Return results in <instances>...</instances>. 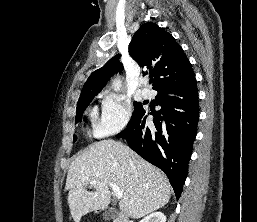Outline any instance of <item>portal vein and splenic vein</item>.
Here are the masks:
<instances>
[{
    "label": "portal vein and splenic vein",
    "instance_id": "portal-vein-and-splenic-vein-1",
    "mask_svg": "<svg viewBox=\"0 0 257 222\" xmlns=\"http://www.w3.org/2000/svg\"><path fill=\"white\" fill-rule=\"evenodd\" d=\"M90 183L92 185H96L97 181L96 180H92ZM109 186L114 191L116 198L120 199V198L123 197V191H121L120 188L116 184H114L113 182H110Z\"/></svg>",
    "mask_w": 257,
    "mask_h": 222
}]
</instances>
